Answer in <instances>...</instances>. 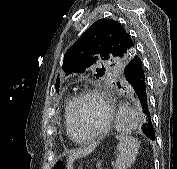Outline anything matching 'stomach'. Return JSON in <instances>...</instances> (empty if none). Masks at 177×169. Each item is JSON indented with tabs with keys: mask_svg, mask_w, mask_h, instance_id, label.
<instances>
[{
	"mask_svg": "<svg viewBox=\"0 0 177 169\" xmlns=\"http://www.w3.org/2000/svg\"><path fill=\"white\" fill-rule=\"evenodd\" d=\"M52 169H69V168L67 163L62 158H59L54 162Z\"/></svg>",
	"mask_w": 177,
	"mask_h": 169,
	"instance_id": "1",
	"label": "stomach"
}]
</instances>
